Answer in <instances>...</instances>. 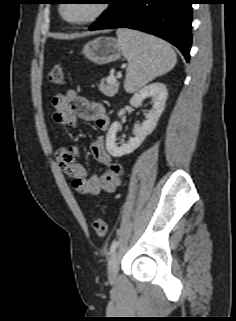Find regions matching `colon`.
Returning <instances> with one entry per match:
<instances>
[{
	"label": "colon",
	"instance_id": "5ec220e1",
	"mask_svg": "<svg viewBox=\"0 0 236 321\" xmlns=\"http://www.w3.org/2000/svg\"><path fill=\"white\" fill-rule=\"evenodd\" d=\"M47 81L52 85H61L65 82V73L61 66H54L47 75ZM94 232L103 237L107 233V223L106 221L99 217L95 216L92 222Z\"/></svg>",
	"mask_w": 236,
	"mask_h": 321
}]
</instances>
